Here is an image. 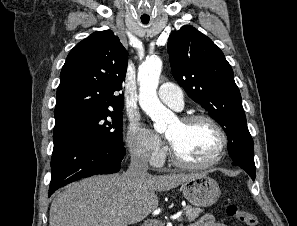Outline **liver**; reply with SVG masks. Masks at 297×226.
<instances>
[{
	"instance_id": "1",
	"label": "liver",
	"mask_w": 297,
	"mask_h": 226,
	"mask_svg": "<svg viewBox=\"0 0 297 226\" xmlns=\"http://www.w3.org/2000/svg\"><path fill=\"white\" fill-rule=\"evenodd\" d=\"M196 174L148 175L132 181L125 173L99 175L68 185L53 200L49 226H128L158 207L155 191H167Z\"/></svg>"
}]
</instances>
